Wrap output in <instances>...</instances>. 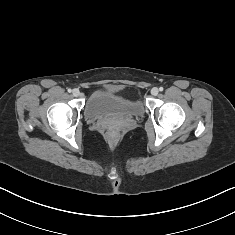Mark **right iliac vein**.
I'll return each mask as SVG.
<instances>
[{
    "label": "right iliac vein",
    "mask_w": 235,
    "mask_h": 235,
    "mask_svg": "<svg viewBox=\"0 0 235 235\" xmlns=\"http://www.w3.org/2000/svg\"><path fill=\"white\" fill-rule=\"evenodd\" d=\"M72 94H73V96H75V97L79 96V95H80L79 89H77V88L73 89Z\"/></svg>",
    "instance_id": "63e3f726"
}]
</instances>
